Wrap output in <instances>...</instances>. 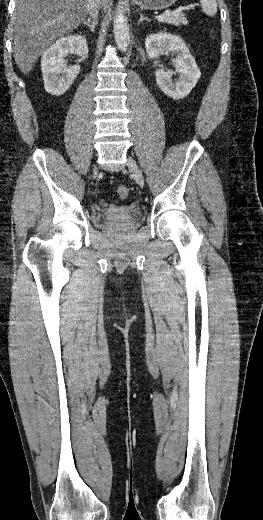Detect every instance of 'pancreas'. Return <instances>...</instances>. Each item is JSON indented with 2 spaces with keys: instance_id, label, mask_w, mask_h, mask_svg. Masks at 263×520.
<instances>
[{
  "instance_id": "obj_1",
  "label": "pancreas",
  "mask_w": 263,
  "mask_h": 520,
  "mask_svg": "<svg viewBox=\"0 0 263 520\" xmlns=\"http://www.w3.org/2000/svg\"><path fill=\"white\" fill-rule=\"evenodd\" d=\"M163 23L172 24L175 26L188 25V20L183 11L175 10L167 16Z\"/></svg>"
}]
</instances>
